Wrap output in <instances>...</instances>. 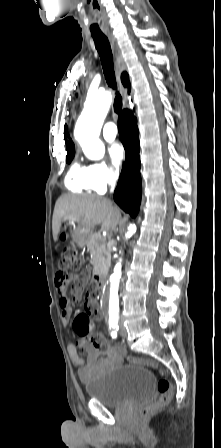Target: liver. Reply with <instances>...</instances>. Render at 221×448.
I'll list each match as a JSON object with an SVG mask.
<instances>
[{"instance_id":"6515ba94","label":"liver","mask_w":221,"mask_h":448,"mask_svg":"<svg viewBox=\"0 0 221 448\" xmlns=\"http://www.w3.org/2000/svg\"><path fill=\"white\" fill-rule=\"evenodd\" d=\"M120 211L103 197L62 195L56 202L52 221L53 238L58 240L63 221L93 228L101 225L103 230L114 229L120 222Z\"/></svg>"}]
</instances>
